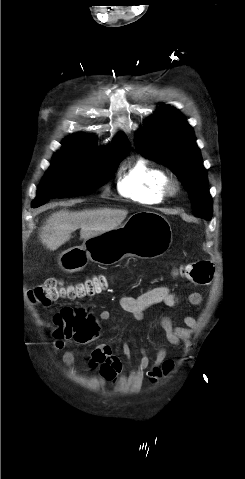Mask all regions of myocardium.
<instances>
[{"instance_id": "1", "label": "myocardium", "mask_w": 245, "mask_h": 479, "mask_svg": "<svg viewBox=\"0 0 245 479\" xmlns=\"http://www.w3.org/2000/svg\"><path fill=\"white\" fill-rule=\"evenodd\" d=\"M180 190V185L175 179H170L167 181L164 187L165 194L168 196H175Z\"/></svg>"}]
</instances>
